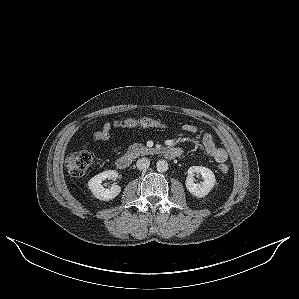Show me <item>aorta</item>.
Segmentation results:
<instances>
[{"label":"aorta","instance_id":"1","mask_svg":"<svg viewBox=\"0 0 299 299\" xmlns=\"http://www.w3.org/2000/svg\"><path fill=\"white\" fill-rule=\"evenodd\" d=\"M157 170L160 172H165L168 169V163L165 160H158L156 163Z\"/></svg>","mask_w":299,"mask_h":299}]
</instances>
